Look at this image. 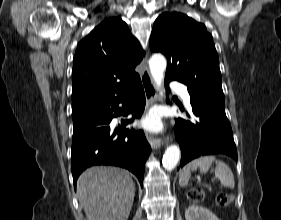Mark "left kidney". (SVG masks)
I'll return each instance as SVG.
<instances>
[{"mask_svg":"<svg viewBox=\"0 0 281 220\" xmlns=\"http://www.w3.org/2000/svg\"><path fill=\"white\" fill-rule=\"evenodd\" d=\"M186 220H220L207 208L199 205H191L185 211Z\"/></svg>","mask_w":281,"mask_h":220,"instance_id":"1","label":"left kidney"}]
</instances>
